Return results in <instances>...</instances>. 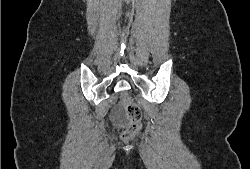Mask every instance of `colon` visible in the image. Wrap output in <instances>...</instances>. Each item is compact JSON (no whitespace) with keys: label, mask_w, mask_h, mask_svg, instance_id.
I'll use <instances>...</instances> for the list:
<instances>
[{"label":"colon","mask_w":250,"mask_h":169,"mask_svg":"<svg viewBox=\"0 0 250 169\" xmlns=\"http://www.w3.org/2000/svg\"><path fill=\"white\" fill-rule=\"evenodd\" d=\"M119 101L123 104L122 111L123 115H126L128 126H125V130H122L120 139H132V135H135V131H141L144 127L143 115H141L140 108L137 107L138 99H133V96H129L126 92H119Z\"/></svg>","instance_id":"colon-1"}]
</instances>
